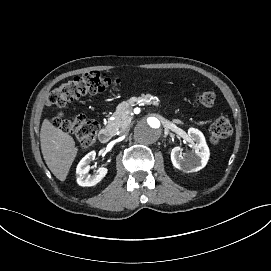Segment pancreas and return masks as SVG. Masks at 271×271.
I'll list each match as a JSON object with an SVG mask.
<instances>
[{
	"mask_svg": "<svg viewBox=\"0 0 271 271\" xmlns=\"http://www.w3.org/2000/svg\"><path fill=\"white\" fill-rule=\"evenodd\" d=\"M132 102L135 105H140L141 103L155 105L158 102V99L153 95H142L141 97L135 96L132 99ZM131 106L132 104L129 102H122L119 104L113 114L114 120H108V126L112 127L116 131L127 128L132 119V116L129 115L131 112ZM173 122L178 124L182 123L178 119H174Z\"/></svg>",
	"mask_w": 271,
	"mask_h": 271,
	"instance_id": "cf45deb5",
	"label": "pancreas"
}]
</instances>
